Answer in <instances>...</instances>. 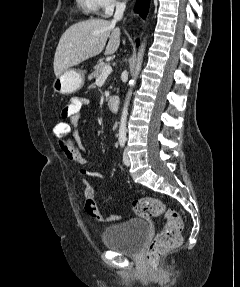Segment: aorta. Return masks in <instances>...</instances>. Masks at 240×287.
I'll return each instance as SVG.
<instances>
[{
	"label": "aorta",
	"mask_w": 240,
	"mask_h": 287,
	"mask_svg": "<svg viewBox=\"0 0 240 287\" xmlns=\"http://www.w3.org/2000/svg\"><path fill=\"white\" fill-rule=\"evenodd\" d=\"M144 51H145V43H142L138 52L137 56V64L135 68V73L133 75L132 80L130 81V89L127 93L126 100L124 103V107L122 109L121 113V119H120V124H119V139L120 140H125L126 139V132H127V115H128V106H129V101L130 97L132 95V88L136 84V79L139 75V72L141 70V65L143 61V56H144Z\"/></svg>",
	"instance_id": "aorta-1"
}]
</instances>
